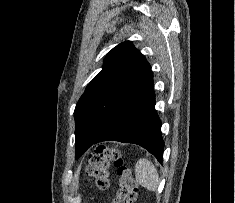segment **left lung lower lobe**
<instances>
[{"instance_id": "0a47b994", "label": "left lung lower lobe", "mask_w": 235, "mask_h": 203, "mask_svg": "<svg viewBox=\"0 0 235 203\" xmlns=\"http://www.w3.org/2000/svg\"><path fill=\"white\" fill-rule=\"evenodd\" d=\"M85 148L93 144L115 140L140 145L162 163L164 141L161 121L155 110L153 73L150 70L143 81L129 95L111 122L99 136L82 131ZM84 148V149H85Z\"/></svg>"}]
</instances>
